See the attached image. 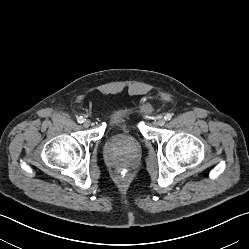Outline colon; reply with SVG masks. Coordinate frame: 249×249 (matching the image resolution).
Segmentation results:
<instances>
[{
    "mask_svg": "<svg viewBox=\"0 0 249 249\" xmlns=\"http://www.w3.org/2000/svg\"><path fill=\"white\" fill-rule=\"evenodd\" d=\"M119 175H120L121 177H123V178L127 177V175H128L127 169H125V168L120 169V170H119Z\"/></svg>",
    "mask_w": 249,
    "mask_h": 249,
    "instance_id": "1",
    "label": "colon"
}]
</instances>
